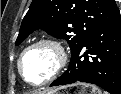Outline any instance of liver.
Wrapping results in <instances>:
<instances>
[{
	"label": "liver",
	"mask_w": 121,
	"mask_h": 94,
	"mask_svg": "<svg viewBox=\"0 0 121 94\" xmlns=\"http://www.w3.org/2000/svg\"><path fill=\"white\" fill-rule=\"evenodd\" d=\"M38 94H46L45 92H39Z\"/></svg>",
	"instance_id": "6515ba94"
}]
</instances>
